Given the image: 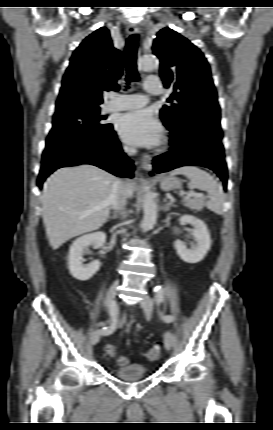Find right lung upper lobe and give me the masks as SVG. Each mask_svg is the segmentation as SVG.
<instances>
[{"mask_svg": "<svg viewBox=\"0 0 273 430\" xmlns=\"http://www.w3.org/2000/svg\"><path fill=\"white\" fill-rule=\"evenodd\" d=\"M122 59V53L112 45L107 28L101 27L86 37L73 52L56 107L73 100L101 104L105 91L118 89Z\"/></svg>", "mask_w": 273, "mask_h": 430, "instance_id": "1", "label": "right lung upper lobe"}]
</instances>
